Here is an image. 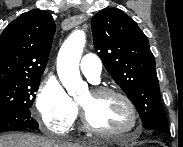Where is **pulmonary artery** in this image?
Instances as JSON below:
<instances>
[{"label":"pulmonary artery","mask_w":183,"mask_h":147,"mask_svg":"<svg viewBox=\"0 0 183 147\" xmlns=\"http://www.w3.org/2000/svg\"><path fill=\"white\" fill-rule=\"evenodd\" d=\"M80 69L83 75L92 83L100 80L102 63L100 58L92 53L85 54L80 62Z\"/></svg>","instance_id":"pulmonary-artery-1"}]
</instances>
